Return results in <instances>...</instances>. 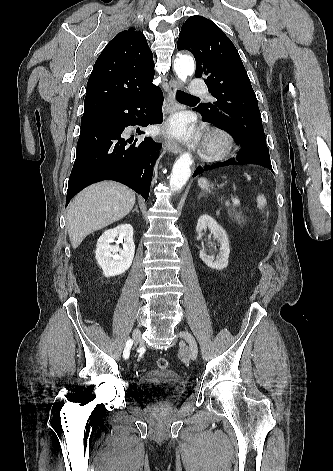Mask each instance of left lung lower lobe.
I'll use <instances>...</instances> for the list:
<instances>
[{"instance_id": "0a47b994", "label": "left lung lower lobe", "mask_w": 333, "mask_h": 471, "mask_svg": "<svg viewBox=\"0 0 333 471\" xmlns=\"http://www.w3.org/2000/svg\"><path fill=\"white\" fill-rule=\"evenodd\" d=\"M202 120L209 122L204 117L202 118ZM241 164H257V165L264 166L273 172L271 161H270L269 150L267 146H249V147L241 146V149L238 152L236 158H232L224 162L216 163L214 165H205L204 167H199L195 170L193 177L211 169L228 166V165H241Z\"/></svg>"}]
</instances>
